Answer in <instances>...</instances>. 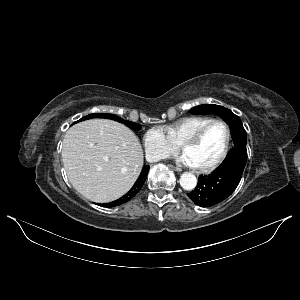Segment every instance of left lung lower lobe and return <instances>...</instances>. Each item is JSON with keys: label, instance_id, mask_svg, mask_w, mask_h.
Here are the masks:
<instances>
[{"label": "left lung lower lobe", "instance_id": "left-lung-lower-lobe-1", "mask_svg": "<svg viewBox=\"0 0 300 300\" xmlns=\"http://www.w3.org/2000/svg\"><path fill=\"white\" fill-rule=\"evenodd\" d=\"M247 160V150L235 147L209 175L198 178L196 188L188 193L189 198L198 206L210 207L228 198L239 184Z\"/></svg>", "mask_w": 300, "mask_h": 300}]
</instances>
